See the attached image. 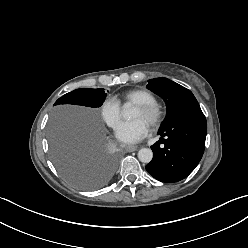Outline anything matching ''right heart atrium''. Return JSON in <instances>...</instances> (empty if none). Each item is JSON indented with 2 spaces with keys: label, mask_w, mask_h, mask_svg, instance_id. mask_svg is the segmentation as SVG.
<instances>
[{
  "label": "right heart atrium",
  "mask_w": 248,
  "mask_h": 248,
  "mask_svg": "<svg viewBox=\"0 0 248 248\" xmlns=\"http://www.w3.org/2000/svg\"><path fill=\"white\" fill-rule=\"evenodd\" d=\"M102 120L110 127L116 128L121 119V108L112 98H106L99 107Z\"/></svg>",
  "instance_id": "1"
}]
</instances>
